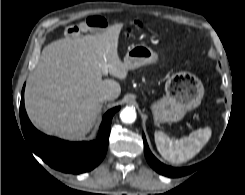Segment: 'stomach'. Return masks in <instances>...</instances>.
<instances>
[{
  "mask_svg": "<svg viewBox=\"0 0 245 195\" xmlns=\"http://www.w3.org/2000/svg\"><path fill=\"white\" fill-rule=\"evenodd\" d=\"M157 54L145 45L129 48L124 62L130 69L156 62ZM204 96L201 80L190 72H177L166 81L165 95L151 105L154 122H177L198 107Z\"/></svg>",
  "mask_w": 245,
  "mask_h": 195,
  "instance_id": "obj_1",
  "label": "stomach"
}]
</instances>
